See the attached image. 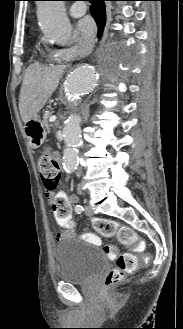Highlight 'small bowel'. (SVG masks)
<instances>
[{
  "mask_svg": "<svg viewBox=\"0 0 183 329\" xmlns=\"http://www.w3.org/2000/svg\"><path fill=\"white\" fill-rule=\"evenodd\" d=\"M46 196L51 203L52 217L55 219L56 227H66L68 232H71L74 227V220H72V202L76 200L75 196H69L68 192H59L53 194L52 192L46 191ZM67 202V203H66ZM96 244L100 243V239L87 235ZM56 239L59 240L62 237L61 232H57L55 235Z\"/></svg>",
  "mask_w": 183,
  "mask_h": 329,
  "instance_id": "obj_1",
  "label": "small bowel"
}]
</instances>
